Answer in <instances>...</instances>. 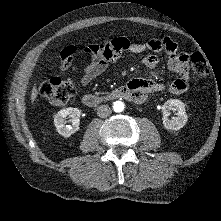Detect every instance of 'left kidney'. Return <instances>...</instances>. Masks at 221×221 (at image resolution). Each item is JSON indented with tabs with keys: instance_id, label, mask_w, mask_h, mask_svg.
<instances>
[{
	"instance_id": "1",
	"label": "left kidney",
	"mask_w": 221,
	"mask_h": 221,
	"mask_svg": "<svg viewBox=\"0 0 221 221\" xmlns=\"http://www.w3.org/2000/svg\"><path fill=\"white\" fill-rule=\"evenodd\" d=\"M177 111V117L168 118L170 111ZM163 111V125L167 130L177 131L182 128L187 120L188 116L186 114L185 104L177 99H170L164 103L162 106Z\"/></svg>"
}]
</instances>
